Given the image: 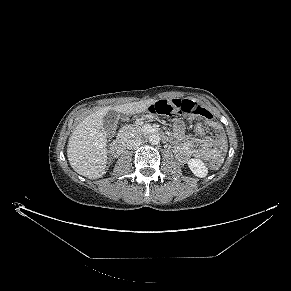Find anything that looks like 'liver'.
Wrapping results in <instances>:
<instances>
[{"label": "liver", "mask_w": 291, "mask_h": 291, "mask_svg": "<svg viewBox=\"0 0 291 291\" xmlns=\"http://www.w3.org/2000/svg\"><path fill=\"white\" fill-rule=\"evenodd\" d=\"M154 103L155 100L147 99L115 107L107 106L88 115L77 125L68 141L67 155L74 171L89 179H97L105 173L107 138L101 129L103 117L109 110L132 115L144 112Z\"/></svg>", "instance_id": "liver-1"}]
</instances>
